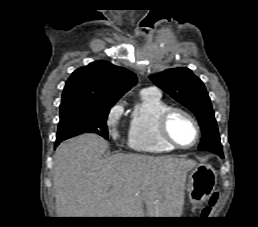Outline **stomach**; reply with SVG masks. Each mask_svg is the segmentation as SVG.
Listing matches in <instances>:
<instances>
[{
  "label": "stomach",
  "mask_w": 258,
  "mask_h": 227,
  "mask_svg": "<svg viewBox=\"0 0 258 227\" xmlns=\"http://www.w3.org/2000/svg\"><path fill=\"white\" fill-rule=\"evenodd\" d=\"M216 186V172L211 165L198 164L193 168L187 180V193L192 204L206 201Z\"/></svg>",
  "instance_id": "1"
}]
</instances>
